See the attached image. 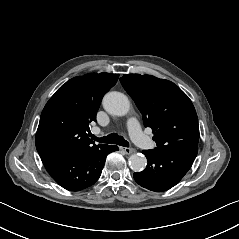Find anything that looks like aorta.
I'll return each instance as SVG.
<instances>
[{"mask_svg":"<svg viewBox=\"0 0 239 239\" xmlns=\"http://www.w3.org/2000/svg\"><path fill=\"white\" fill-rule=\"evenodd\" d=\"M104 109L115 116H124L130 109L128 97L121 92H108L102 101ZM131 169L135 172L142 171L147 165V159L138 154H132L129 158Z\"/></svg>","mask_w":239,"mask_h":239,"instance_id":"1","label":"aorta"}]
</instances>
